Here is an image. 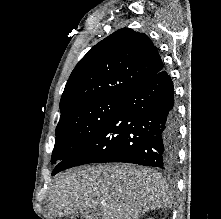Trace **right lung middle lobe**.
<instances>
[{"instance_id": "obj_1", "label": "right lung middle lobe", "mask_w": 221, "mask_h": 219, "mask_svg": "<svg viewBox=\"0 0 221 219\" xmlns=\"http://www.w3.org/2000/svg\"><path fill=\"white\" fill-rule=\"evenodd\" d=\"M122 98H101L77 104L61 114L51 162L59 164L87 144L102 128Z\"/></svg>"}]
</instances>
